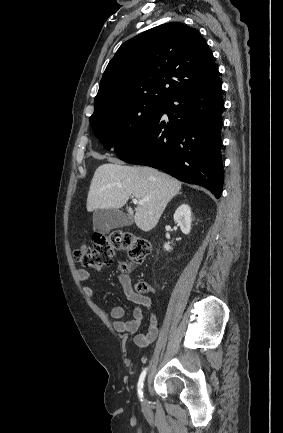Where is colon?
<instances>
[{
  "instance_id": "5ec220e1",
  "label": "colon",
  "mask_w": 283,
  "mask_h": 433,
  "mask_svg": "<svg viewBox=\"0 0 283 433\" xmlns=\"http://www.w3.org/2000/svg\"><path fill=\"white\" fill-rule=\"evenodd\" d=\"M117 251L127 254L131 264L143 262L151 252L150 242L132 232L114 230L107 235H98L94 239V245L82 246L75 250L77 261L87 269L101 270L111 265ZM123 270H128V264H121ZM137 289L146 292L149 287L146 283H139Z\"/></svg>"
}]
</instances>
